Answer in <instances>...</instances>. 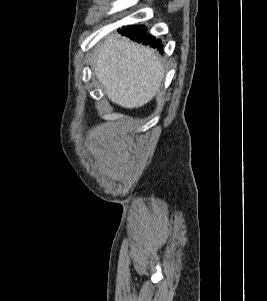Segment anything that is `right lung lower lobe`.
Segmentation results:
<instances>
[{
	"label": "right lung lower lobe",
	"instance_id": "obj_1",
	"mask_svg": "<svg viewBox=\"0 0 267 301\" xmlns=\"http://www.w3.org/2000/svg\"><path fill=\"white\" fill-rule=\"evenodd\" d=\"M124 29V27H123ZM121 34L130 37L132 40L137 42H144L145 45H150L153 48L160 49L162 53V42L157 41L155 38L149 34H146L145 26H128L125 31L120 30Z\"/></svg>",
	"mask_w": 267,
	"mask_h": 301
}]
</instances>
